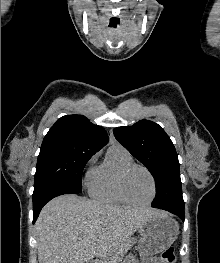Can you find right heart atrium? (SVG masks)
I'll list each match as a JSON object with an SVG mask.
<instances>
[{
	"label": "right heart atrium",
	"mask_w": 220,
	"mask_h": 263,
	"mask_svg": "<svg viewBox=\"0 0 220 263\" xmlns=\"http://www.w3.org/2000/svg\"><path fill=\"white\" fill-rule=\"evenodd\" d=\"M97 157H98V154L93 155L89 162L94 163L96 161Z\"/></svg>",
	"instance_id": "1"
}]
</instances>
